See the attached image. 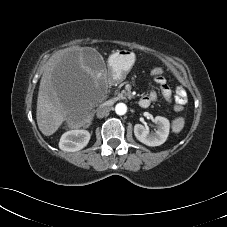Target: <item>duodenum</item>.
<instances>
[{"mask_svg": "<svg viewBox=\"0 0 227 227\" xmlns=\"http://www.w3.org/2000/svg\"><path fill=\"white\" fill-rule=\"evenodd\" d=\"M139 106L140 107H142V108H146V107H148L149 105H148V102L146 101V100H144V99H140L139 100Z\"/></svg>", "mask_w": 227, "mask_h": 227, "instance_id": "duodenum-1", "label": "duodenum"}]
</instances>
